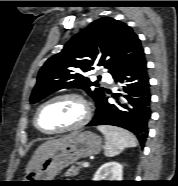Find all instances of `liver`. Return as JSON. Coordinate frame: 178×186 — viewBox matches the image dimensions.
Wrapping results in <instances>:
<instances>
[{
    "label": "liver",
    "instance_id": "liver-1",
    "mask_svg": "<svg viewBox=\"0 0 178 186\" xmlns=\"http://www.w3.org/2000/svg\"><path fill=\"white\" fill-rule=\"evenodd\" d=\"M76 134L67 135L58 139L46 141L34 152L32 158L26 166V174L30 173L39 163H41L52 151L65 144Z\"/></svg>",
    "mask_w": 178,
    "mask_h": 186
}]
</instances>
